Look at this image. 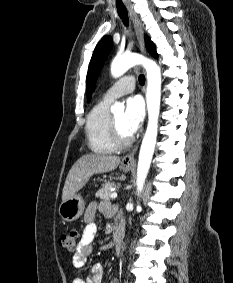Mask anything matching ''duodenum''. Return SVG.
Instances as JSON below:
<instances>
[{
	"mask_svg": "<svg viewBox=\"0 0 233 283\" xmlns=\"http://www.w3.org/2000/svg\"><path fill=\"white\" fill-rule=\"evenodd\" d=\"M123 230L121 227L117 228L113 235L114 249L117 256L120 255L122 250Z\"/></svg>",
	"mask_w": 233,
	"mask_h": 283,
	"instance_id": "1",
	"label": "duodenum"
}]
</instances>
